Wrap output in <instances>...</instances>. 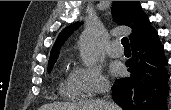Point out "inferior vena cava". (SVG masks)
<instances>
[{"label":"inferior vena cava","mask_w":171,"mask_h":110,"mask_svg":"<svg viewBox=\"0 0 171 110\" xmlns=\"http://www.w3.org/2000/svg\"><path fill=\"white\" fill-rule=\"evenodd\" d=\"M110 91V85L108 82H104L100 86V93H108ZM103 106L105 110H109V104L108 101L103 102Z\"/></svg>","instance_id":"602c4592"}]
</instances>
